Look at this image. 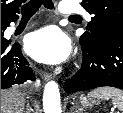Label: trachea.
I'll return each mask as SVG.
<instances>
[{"label": "trachea", "mask_w": 123, "mask_h": 113, "mask_svg": "<svg viewBox=\"0 0 123 113\" xmlns=\"http://www.w3.org/2000/svg\"><path fill=\"white\" fill-rule=\"evenodd\" d=\"M43 5L47 9H53L54 4L52 0H30L21 8L22 18H31ZM71 18L78 17L77 15L70 16Z\"/></svg>", "instance_id": "1"}]
</instances>
